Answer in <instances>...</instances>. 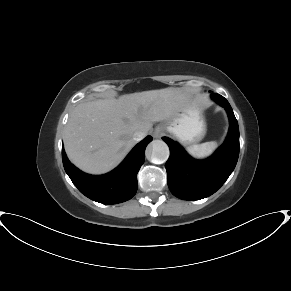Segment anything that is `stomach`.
Instances as JSON below:
<instances>
[{
	"label": "stomach",
	"mask_w": 291,
	"mask_h": 291,
	"mask_svg": "<svg viewBox=\"0 0 291 291\" xmlns=\"http://www.w3.org/2000/svg\"><path fill=\"white\" fill-rule=\"evenodd\" d=\"M165 129L184 145L196 144L206 134L202 111L192 99L186 98L177 113L163 123Z\"/></svg>",
	"instance_id": "0dacf381"
}]
</instances>
